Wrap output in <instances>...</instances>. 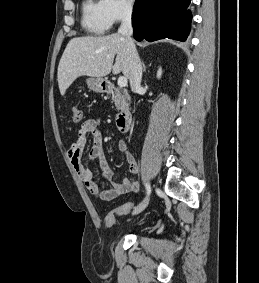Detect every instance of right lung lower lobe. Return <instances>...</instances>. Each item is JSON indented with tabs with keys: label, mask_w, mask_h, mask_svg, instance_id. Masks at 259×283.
Here are the masks:
<instances>
[{
	"label": "right lung lower lobe",
	"mask_w": 259,
	"mask_h": 283,
	"mask_svg": "<svg viewBox=\"0 0 259 283\" xmlns=\"http://www.w3.org/2000/svg\"><path fill=\"white\" fill-rule=\"evenodd\" d=\"M191 0H136L132 13L133 36L137 41L162 38L185 41L192 15Z\"/></svg>",
	"instance_id": "obj_1"
}]
</instances>
